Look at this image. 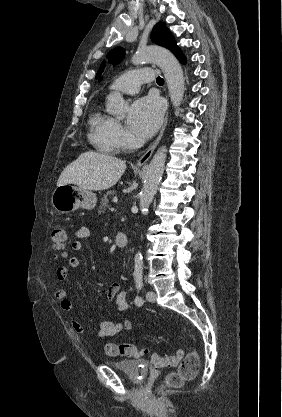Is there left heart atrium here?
Returning a JSON list of instances; mask_svg holds the SVG:
<instances>
[{
	"mask_svg": "<svg viewBox=\"0 0 282 417\" xmlns=\"http://www.w3.org/2000/svg\"><path fill=\"white\" fill-rule=\"evenodd\" d=\"M163 107L159 99L146 97L136 101L129 113L128 127L136 135L149 136L159 127Z\"/></svg>",
	"mask_w": 282,
	"mask_h": 417,
	"instance_id": "left-heart-atrium-1",
	"label": "left heart atrium"
}]
</instances>
